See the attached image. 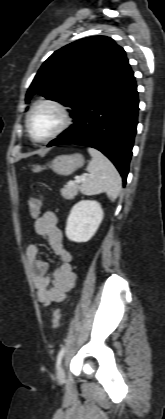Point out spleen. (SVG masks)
<instances>
[{"instance_id":"obj_1","label":"spleen","mask_w":165,"mask_h":419,"mask_svg":"<svg viewBox=\"0 0 165 419\" xmlns=\"http://www.w3.org/2000/svg\"><path fill=\"white\" fill-rule=\"evenodd\" d=\"M92 160L87 167L86 177L80 190L85 195H96L105 192L111 201H115L121 188L122 180L115 166L100 151L88 148Z\"/></svg>"}]
</instances>
